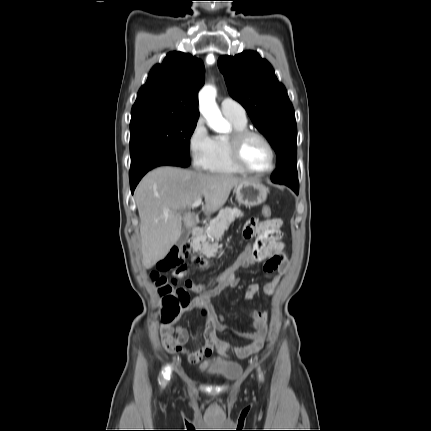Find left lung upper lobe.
I'll return each instance as SVG.
<instances>
[{"mask_svg":"<svg viewBox=\"0 0 431 431\" xmlns=\"http://www.w3.org/2000/svg\"><path fill=\"white\" fill-rule=\"evenodd\" d=\"M218 66L230 96L246 109L277 154L278 169L272 181L298 184L295 113L270 63L255 51H244L220 57Z\"/></svg>","mask_w":431,"mask_h":431,"instance_id":"obj_1","label":"left lung upper lobe"}]
</instances>
